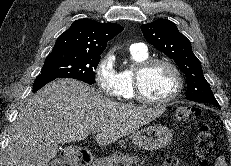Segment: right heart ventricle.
Masks as SVG:
<instances>
[{
	"label": "right heart ventricle",
	"mask_w": 231,
	"mask_h": 166,
	"mask_svg": "<svg viewBox=\"0 0 231 166\" xmlns=\"http://www.w3.org/2000/svg\"><path fill=\"white\" fill-rule=\"evenodd\" d=\"M129 54L131 60L138 64L146 59H148V52L142 53L139 51L129 49ZM133 69L125 68L122 69L120 74V82H121V89H122V95L125 100H132L134 98V90H133Z\"/></svg>",
	"instance_id": "obj_1"
}]
</instances>
